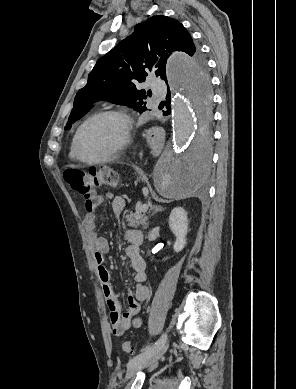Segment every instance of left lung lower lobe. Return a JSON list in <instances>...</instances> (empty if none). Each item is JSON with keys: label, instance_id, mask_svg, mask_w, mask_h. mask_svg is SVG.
Listing matches in <instances>:
<instances>
[{"label": "left lung lower lobe", "instance_id": "left-lung-lower-lobe-1", "mask_svg": "<svg viewBox=\"0 0 296 389\" xmlns=\"http://www.w3.org/2000/svg\"><path fill=\"white\" fill-rule=\"evenodd\" d=\"M192 93L194 94H199L200 96H202L203 93H207V91H204V90H201L200 87L198 85H193L192 84ZM170 90L168 88V93H167V96H166V107H167V111H165L163 114L164 115H169L170 112H171V108H170ZM208 156H207V151L206 149L203 148V143L201 142H198L196 144V148L195 150L192 152V154L190 155V157L188 158V160L182 164L179 168V172H178V178H183L184 180L187 181V178L185 176L186 172H189L190 173H193V174H196L198 173L202 168H205L208 164ZM189 184V182H188ZM190 185V184H189ZM192 187V185H191Z\"/></svg>", "mask_w": 296, "mask_h": 389}]
</instances>
